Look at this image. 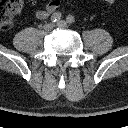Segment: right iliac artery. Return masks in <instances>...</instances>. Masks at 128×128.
Returning <instances> with one entry per match:
<instances>
[{"label": "right iliac artery", "instance_id": "obj_1", "mask_svg": "<svg viewBox=\"0 0 128 128\" xmlns=\"http://www.w3.org/2000/svg\"><path fill=\"white\" fill-rule=\"evenodd\" d=\"M62 15L60 12H56L51 16V22H57L61 19Z\"/></svg>", "mask_w": 128, "mask_h": 128}]
</instances>
